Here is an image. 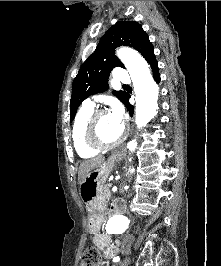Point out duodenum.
<instances>
[{
  "instance_id": "410a0bca",
  "label": "duodenum",
  "mask_w": 221,
  "mask_h": 266,
  "mask_svg": "<svg viewBox=\"0 0 221 266\" xmlns=\"http://www.w3.org/2000/svg\"><path fill=\"white\" fill-rule=\"evenodd\" d=\"M111 210L113 213H121L123 211V205L120 202L112 204Z\"/></svg>"
}]
</instances>
